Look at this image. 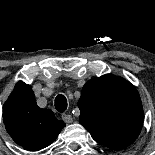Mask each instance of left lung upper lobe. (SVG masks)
Returning <instances> with one entry per match:
<instances>
[{"label": "left lung upper lobe", "mask_w": 155, "mask_h": 155, "mask_svg": "<svg viewBox=\"0 0 155 155\" xmlns=\"http://www.w3.org/2000/svg\"><path fill=\"white\" fill-rule=\"evenodd\" d=\"M80 123L93 139L110 149H123L138 137L143 108L136 88L121 77L106 74L90 79L78 101Z\"/></svg>", "instance_id": "obj_1"}]
</instances>
